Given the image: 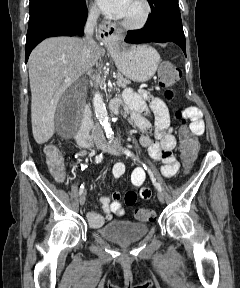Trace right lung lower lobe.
Segmentation results:
<instances>
[{
    "label": "right lung lower lobe",
    "mask_w": 240,
    "mask_h": 288,
    "mask_svg": "<svg viewBox=\"0 0 240 288\" xmlns=\"http://www.w3.org/2000/svg\"><path fill=\"white\" fill-rule=\"evenodd\" d=\"M87 19L85 0L77 6H54L29 20L26 62L33 48L47 37L83 35Z\"/></svg>",
    "instance_id": "obj_1"
}]
</instances>
